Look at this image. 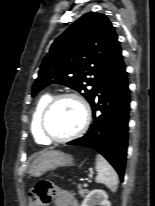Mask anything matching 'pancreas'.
<instances>
[{
  "instance_id": "pancreas-1",
  "label": "pancreas",
  "mask_w": 155,
  "mask_h": 206,
  "mask_svg": "<svg viewBox=\"0 0 155 206\" xmlns=\"http://www.w3.org/2000/svg\"><path fill=\"white\" fill-rule=\"evenodd\" d=\"M78 189H79V194L81 197H84L85 194L88 192L87 189H82V187L80 185L78 186Z\"/></svg>"
}]
</instances>
